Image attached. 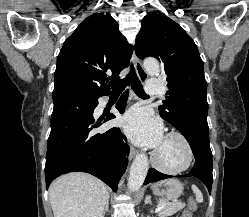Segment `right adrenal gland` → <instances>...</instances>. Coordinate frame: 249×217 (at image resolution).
<instances>
[{
	"label": "right adrenal gland",
	"mask_w": 249,
	"mask_h": 217,
	"mask_svg": "<svg viewBox=\"0 0 249 217\" xmlns=\"http://www.w3.org/2000/svg\"><path fill=\"white\" fill-rule=\"evenodd\" d=\"M108 211H109V198H108V200H107V202H106V206H105V209H104V212H103L102 217H105V214H106V212H108Z\"/></svg>",
	"instance_id": "2a0ac1e0"
}]
</instances>
